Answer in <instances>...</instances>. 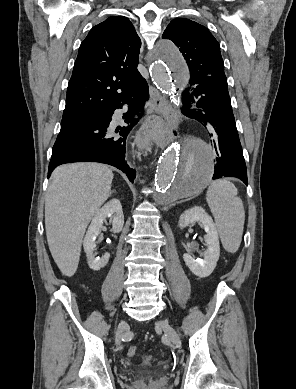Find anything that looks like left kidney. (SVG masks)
Segmentation results:
<instances>
[{
  "label": "left kidney",
  "instance_id": "5707ae66",
  "mask_svg": "<svg viewBox=\"0 0 296 389\" xmlns=\"http://www.w3.org/2000/svg\"><path fill=\"white\" fill-rule=\"evenodd\" d=\"M196 222L200 223L204 227L206 232L205 243L207 249L202 254L203 259H195L191 253L195 247L190 246L187 249V252L183 254V259L194 275L204 278L209 276L216 267L220 256V244L218 233L212 218L201 207L195 206L186 210L183 214H181L178 225L181 229H183L188 225L195 224Z\"/></svg>",
  "mask_w": 296,
  "mask_h": 389
}]
</instances>
